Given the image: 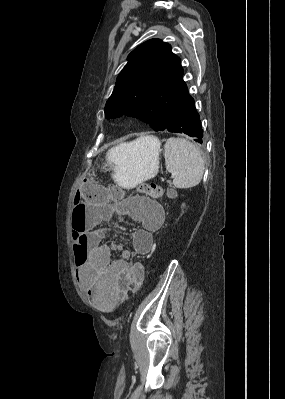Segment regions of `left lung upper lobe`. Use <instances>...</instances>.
I'll return each mask as SVG.
<instances>
[{
	"label": "left lung upper lobe",
	"mask_w": 285,
	"mask_h": 399,
	"mask_svg": "<svg viewBox=\"0 0 285 399\" xmlns=\"http://www.w3.org/2000/svg\"><path fill=\"white\" fill-rule=\"evenodd\" d=\"M127 59L106 102L105 117L125 114L148 123L154 131H163L187 87L179 57L172 53L169 44L151 39L133 50Z\"/></svg>",
	"instance_id": "5c2ea615"
}]
</instances>
